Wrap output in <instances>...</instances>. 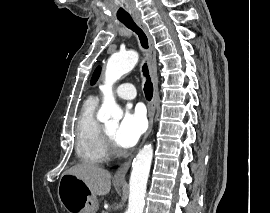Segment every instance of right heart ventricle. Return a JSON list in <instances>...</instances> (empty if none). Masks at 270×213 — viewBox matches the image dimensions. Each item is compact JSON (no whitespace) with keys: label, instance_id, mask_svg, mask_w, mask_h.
Wrapping results in <instances>:
<instances>
[{"label":"right heart ventricle","instance_id":"1","mask_svg":"<svg viewBox=\"0 0 270 213\" xmlns=\"http://www.w3.org/2000/svg\"><path fill=\"white\" fill-rule=\"evenodd\" d=\"M97 105L96 98H88L76 123V153L82 161L93 164L103 163L109 157L103 137V126L95 117Z\"/></svg>","mask_w":270,"mask_h":213}]
</instances>
